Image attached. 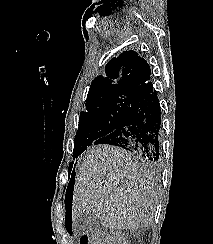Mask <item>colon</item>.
<instances>
[{
	"label": "colon",
	"instance_id": "obj_1",
	"mask_svg": "<svg viewBox=\"0 0 213 244\" xmlns=\"http://www.w3.org/2000/svg\"><path fill=\"white\" fill-rule=\"evenodd\" d=\"M80 244H115L114 241L104 234L84 235L80 239Z\"/></svg>",
	"mask_w": 213,
	"mask_h": 244
}]
</instances>
